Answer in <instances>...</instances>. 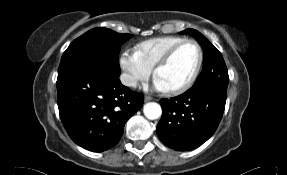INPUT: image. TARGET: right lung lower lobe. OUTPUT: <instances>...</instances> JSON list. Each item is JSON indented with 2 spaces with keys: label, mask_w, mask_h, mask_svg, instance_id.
Masks as SVG:
<instances>
[{
  "label": "right lung lower lobe",
  "mask_w": 287,
  "mask_h": 175,
  "mask_svg": "<svg viewBox=\"0 0 287 175\" xmlns=\"http://www.w3.org/2000/svg\"><path fill=\"white\" fill-rule=\"evenodd\" d=\"M58 108L70 138L92 152L118 143L127 120L144 96L122 85L118 77L76 70L57 78Z\"/></svg>",
  "instance_id": "98d812e1"
}]
</instances>
